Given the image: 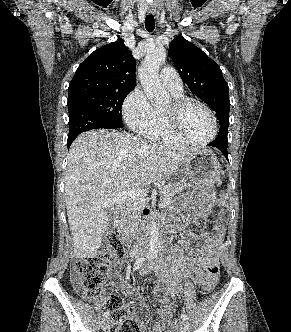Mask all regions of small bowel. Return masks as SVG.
<instances>
[{
    "mask_svg": "<svg viewBox=\"0 0 291 332\" xmlns=\"http://www.w3.org/2000/svg\"><path fill=\"white\" fill-rule=\"evenodd\" d=\"M173 232L181 237L185 235L184 226L180 223L172 225ZM224 230L218 228L210 232L194 234L193 238L201 242L196 253L189 256L182 249L185 239L181 238L179 246L166 248L162 255V268L156 269L157 275V300L162 304L161 309H157L159 320H157L150 330H147L148 308L140 297L136 298V306L132 312V319L141 326V332H174L172 329V299L176 293L182 290L183 283H201L211 273V270L218 266V247L222 242ZM149 267L142 268L141 275L150 272Z\"/></svg>",
    "mask_w": 291,
    "mask_h": 332,
    "instance_id": "c3829d8e",
    "label": "small bowel"
}]
</instances>
